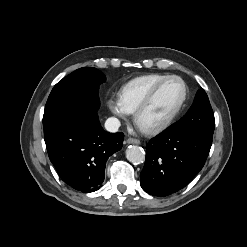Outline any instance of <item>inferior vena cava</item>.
<instances>
[{
	"instance_id": "inferior-vena-cava-1",
	"label": "inferior vena cava",
	"mask_w": 247,
	"mask_h": 247,
	"mask_svg": "<svg viewBox=\"0 0 247 247\" xmlns=\"http://www.w3.org/2000/svg\"><path fill=\"white\" fill-rule=\"evenodd\" d=\"M120 127V121L115 117H110L105 122V128L109 132H117Z\"/></svg>"
}]
</instances>
